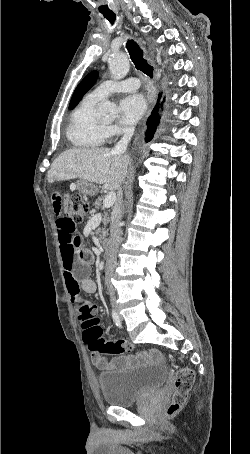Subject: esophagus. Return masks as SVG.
<instances>
[{
	"mask_svg": "<svg viewBox=\"0 0 250 454\" xmlns=\"http://www.w3.org/2000/svg\"><path fill=\"white\" fill-rule=\"evenodd\" d=\"M152 108H153V104H152V102L149 101L148 114L151 112Z\"/></svg>",
	"mask_w": 250,
	"mask_h": 454,
	"instance_id": "34e87169",
	"label": "esophagus"
}]
</instances>
